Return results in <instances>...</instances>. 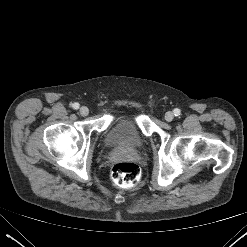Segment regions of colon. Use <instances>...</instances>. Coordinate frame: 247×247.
<instances>
[{
  "label": "colon",
  "mask_w": 247,
  "mask_h": 247,
  "mask_svg": "<svg viewBox=\"0 0 247 247\" xmlns=\"http://www.w3.org/2000/svg\"><path fill=\"white\" fill-rule=\"evenodd\" d=\"M111 176L116 185L131 188L140 180V169L132 162H120L113 166Z\"/></svg>",
  "instance_id": "colon-1"
}]
</instances>
